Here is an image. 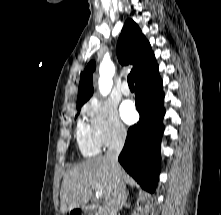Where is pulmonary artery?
I'll list each match as a JSON object with an SVG mask.
<instances>
[{
	"label": "pulmonary artery",
	"instance_id": "obj_1",
	"mask_svg": "<svg viewBox=\"0 0 221 215\" xmlns=\"http://www.w3.org/2000/svg\"><path fill=\"white\" fill-rule=\"evenodd\" d=\"M121 92L125 95L128 96L130 94V89L127 85V83H123L121 86Z\"/></svg>",
	"mask_w": 221,
	"mask_h": 215
}]
</instances>
